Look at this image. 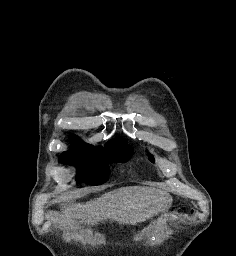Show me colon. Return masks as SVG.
Wrapping results in <instances>:
<instances>
[{
    "instance_id": "5ec220e1",
    "label": "colon",
    "mask_w": 236,
    "mask_h": 256,
    "mask_svg": "<svg viewBox=\"0 0 236 256\" xmlns=\"http://www.w3.org/2000/svg\"><path fill=\"white\" fill-rule=\"evenodd\" d=\"M188 212L192 214V213H193V210H192V209H190Z\"/></svg>"
}]
</instances>
